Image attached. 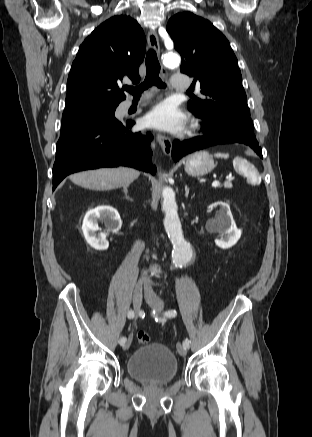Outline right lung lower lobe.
Segmentation results:
<instances>
[{
  "label": "right lung lower lobe",
  "mask_w": 312,
  "mask_h": 437,
  "mask_svg": "<svg viewBox=\"0 0 312 437\" xmlns=\"http://www.w3.org/2000/svg\"><path fill=\"white\" fill-rule=\"evenodd\" d=\"M134 122H111L60 138L53 166V190L69 174L100 167L130 166L154 174L152 135L132 133Z\"/></svg>",
  "instance_id": "right-lung-lower-lobe-1"
}]
</instances>
